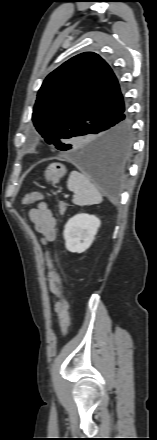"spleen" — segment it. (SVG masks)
<instances>
[{"instance_id": "1", "label": "spleen", "mask_w": 157, "mask_h": 440, "mask_svg": "<svg viewBox=\"0 0 157 440\" xmlns=\"http://www.w3.org/2000/svg\"><path fill=\"white\" fill-rule=\"evenodd\" d=\"M67 188L74 193L72 202L78 206H90L102 202V195L94 184L83 174L72 171Z\"/></svg>"}]
</instances>
